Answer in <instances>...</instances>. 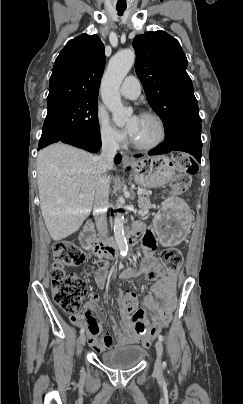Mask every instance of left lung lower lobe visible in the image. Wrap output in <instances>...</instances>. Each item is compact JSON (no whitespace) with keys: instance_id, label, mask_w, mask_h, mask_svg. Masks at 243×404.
<instances>
[{"instance_id":"obj_1","label":"left lung lower lobe","mask_w":243,"mask_h":404,"mask_svg":"<svg viewBox=\"0 0 243 404\" xmlns=\"http://www.w3.org/2000/svg\"><path fill=\"white\" fill-rule=\"evenodd\" d=\"M166 140L151 151L149 155L165 154L170 151H184L201 162V121H182L166 132ZM141 155H135L140 157Z\"/></svg>"}]
</instances>
